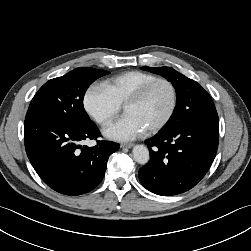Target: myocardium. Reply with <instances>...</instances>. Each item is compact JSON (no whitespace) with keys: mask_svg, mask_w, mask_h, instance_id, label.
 Returning a JSON list of instances; mask_svg holds the SVG:
<instances>
[{"mask_svg":"<svg viewBox=\"0 0 251 251\" xmlns=\"http://www.w3.org/2000/svg\"><path fill=\"white\" fill-rule=\"evenodd\" d=\"M159 83H164L166 84L170 90H171V95H172V101H171V106L170 109L168 111V113L166 114V116L164 117V119L159 122L157 125H155L154 127L146 130L148 134H156L159 131H161L163 128H165L168 123L171 121L176 108H177V104H178V92H177V88L174 85V83L167 79V78H157L154 79L148 83H146L145 85H143L140 89H138L128 100L127 102L124 104V110L131 105H136L138 103H140L148 94V92L157 84Z\"/></svg>","mask_w":251,"mask_h":251,"instance_id":"myocardium-1","label":"myocardium"}]
</instances>
